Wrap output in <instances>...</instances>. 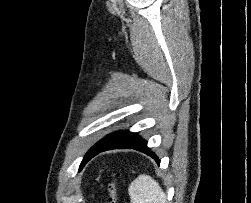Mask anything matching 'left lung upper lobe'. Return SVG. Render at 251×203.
Masks as SVG:
<instances>
[{
	"label": "left lung upper lobe",
	"mask_w": 251,
	"mask_h": 203,
	"mask_svg": "<svg viewBox=\"0 0 251 203\" xmlns=\"http://www.w3.org/2000/svg\"><path fill=\"white\" fill-rule=\"evenodd\" d=\"M122 131L119 132H114L111 133L109 135H107L106 137H104L103 139H101L99 142H97L94 146L91 147V149L89 150V152L86 154V156L84 157L81 165L84 163V160L92 153L94 152L98 147H100L101 145L107 143L108 141H110L113 137H115L117 134H119Z\"/></svg>",
	"instance_id": "5c2ea615"
}]
</instances>
